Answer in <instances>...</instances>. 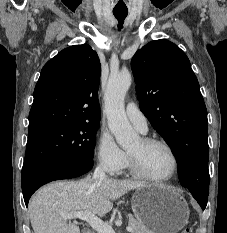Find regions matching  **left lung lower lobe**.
Masks as SVG:
<instances>
[{"instance_id":"0a47b994","label":"left lung lower lobe","mask_w":227,"mask_h":233,"mask_svg":"<svg viewBox=\"0 0 227 233\" xmlns=\"http://www.w3.org/2000/svg\"><path fill=\"white\" fill-rule=\"evenodd\" d=\"M193 197L198 201L202 209L206 208L207 200H208V194L205 195L203 193H194L191 192Z\"/></svg>"}]
</instances>
